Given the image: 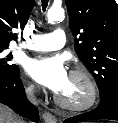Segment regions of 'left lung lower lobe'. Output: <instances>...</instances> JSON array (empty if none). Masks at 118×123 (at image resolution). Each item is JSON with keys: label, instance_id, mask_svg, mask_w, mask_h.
Here are the masks:
<instances>
[{"label": "left lung lower lobe", "instance_id": "1", "mask_svg": "<svg viewBox=\"0 0 118 123\" xmlns=\"http://www.w3.org/2000/svg\"><path fill=\"white\" fill-rule=\"evenodd\" d=\"M97 119L118 120V88L114 89L104 100H101L100 105L96 109L68 118L64 123H78Z\"/></svg>", "mask_w": 118, "mask_h": 123}]
</instances>
